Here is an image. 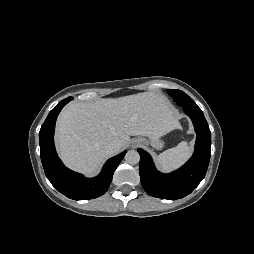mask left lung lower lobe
<instances>
[{"mask_svg":"<svg viewBox=\"0 0 254 254\" xmlns=\"http://www.w3.org/2000/svg\"><path fill=\"white\" fill-rule=\"evenodd\" d=\"M191 118L197 138L191 159L177 171L163 174L156 170L151 156L143 149L139 173L144 190L151 196L176 200L190 194L205 177L211 148V132L201 109L184 108Z\"/></svg>","mask_w":254,"mask_h":254,"instance_id":"1","label":"left lung lower lobe"}]
</instances>
